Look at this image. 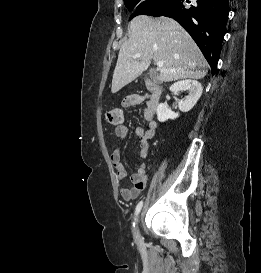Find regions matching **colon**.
Returning a JSON list of instances; mask_svg holds the SVG:
<instances>
[{
    "label": "colon",
    "instance_id": "5ec220e1",
    "mask_svg": "<svg viewBox=\"0 0 261 273\" xmlns=\"http://www.w3.org/2000/svg\"><path fill=\"white\" fill-rule=\"evenodd\" d=\"M107 121L112 125H120L123 122V111L113 108L107 112Z\"/></svg>",
    "mask_w": 261,
    "mask_h": 273
}]
</instances>
